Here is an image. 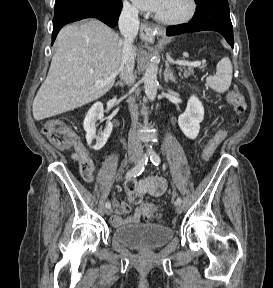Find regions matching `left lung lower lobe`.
Masks as SVG:
<instances>
[{
	"instance_id": "1",
	"label": "left lung lower lobe",
	"mask_w": 273,
	"mask_h": 288,
	"mask_svg": "<svg viewBox=\"0 0 273 288\" xmlns=\"http://www.w3.org/2000/svg\"><path fill=\"white\" fill-rule=\"evenodd\" d=\"M193 18L185 24L169 26L168 36L185 32L211 30L219 32L233 47V27L229 14L228 0H198Z\"/></svg>"
}]
</instances>
